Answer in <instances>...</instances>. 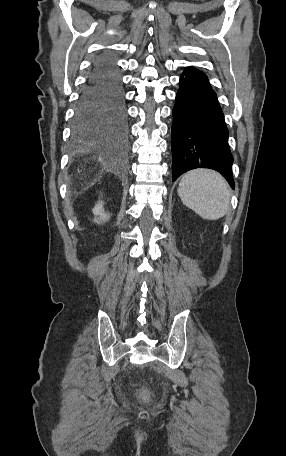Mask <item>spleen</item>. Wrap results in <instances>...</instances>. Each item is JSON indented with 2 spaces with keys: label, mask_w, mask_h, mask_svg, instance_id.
Here are the masks:
<instances>
[{
  "label": "spleen",
  "mask_w": 286,
  "mask_h": 456,
  "mask_svg": "<svg viewBox=\"0 0 286 456\" xmlns=\"http://www.w3.org/2000/svg\"><path fill=\"white\" fill-rule=\"evenodd\" d=\"M178 195L186 207L206 220H218L230 209L229 185L213 170L195 169L183 175Z\"/></svg>",
  "instance_id": "obj_1"
}]
</instances>
